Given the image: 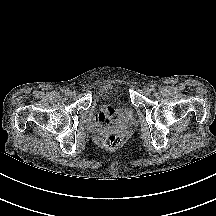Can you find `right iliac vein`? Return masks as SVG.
<instances>
[{"instance_id": "right-iliac-vein-1", "label": "right iliac vein", "mask_w": 216, "mask_h": 216, "mask_svg": "<svg viewBox=\"0 0 216 216\" xmlns=\"http://www.w3.org/2000/svg\"><path fill=\"white\" fill-rule=\"evenodd\" d=\"M70 96H75V92H71V93H70Z\"/></svg>"}]
</instances>
